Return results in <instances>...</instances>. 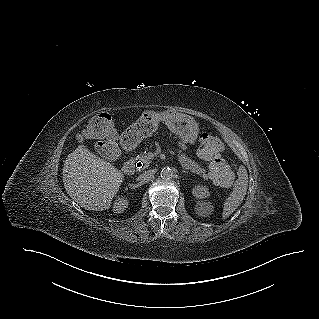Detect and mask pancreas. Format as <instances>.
I'll return each instance as SVG.
<instances>
[{
  "label": "pancreas",
  "mask_w": 319,
  "mask_h": 319,
  "mask_svg": "<svg viewBox=\"0 0 319 319\" xmlns=\"http://www.w3.org/2000/svg\"><path fill=\"white\" fill-rule=\"evenodd\" d=\"M178 161L181 163L182 167L190 170L197 175H200L204 179H208V175L206 174V170L198 165L195 161L186 157L185 154H182L180 151L178 152ZM154 155L152 153L144 152L136 157L137 161H140L143 164V168H147L149 164L152 162Z\"/></svg>",
  "instance_id": "1"
}]
</instances>
